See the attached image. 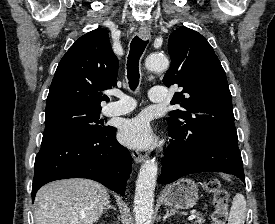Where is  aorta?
Here are the masks:
<instances>
[{"label":"aorta","mask_w":275,"mask_h":224,"mask_svg":"<svg viewBox=\"0 0 275 224\" xmlns=\"http://www.w3.org/2000/svg\"><path fill=\"white\" fill-rule=\"evenodd\" d=\"M145 65L150 71H162L168 67L169 61L164 55L150 54ZM157 172L158 164L155 159H147L140 169L134 198L135 224L152 223Z\"/></svg>","instance_id":"1"}]
</instances>
